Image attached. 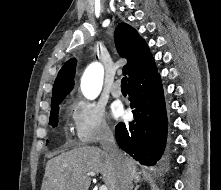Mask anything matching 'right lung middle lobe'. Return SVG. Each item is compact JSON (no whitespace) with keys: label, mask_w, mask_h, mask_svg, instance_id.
Masks as SVG:
<instances>
[{"label":"right lung middle lobe","mask_w":221,"mask_h":190,"mask_svg":"<svg viewBox=\"0 0 221 190\" xmlns=\"http://www.w3.org/2000/svg\"><path fill=\"white\" fill-rule=\"evenodd\" d=\"M63 99L57 100L51 104V113H50V122L49 124L56 127L58 124V112H59V104L62 102Z\"/></svg>","instance_id":"right-lung-middle-lobe-1"}]
</instances>
